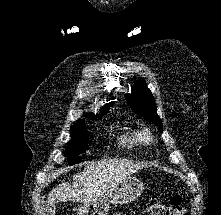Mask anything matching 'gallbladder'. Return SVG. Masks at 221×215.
Segmentation results:
<instances>
[{
    "label": "gallbladder",
    "instance_id": "gallbladder-1",
    "mask_svg": "<svg viewBox=\"0 0 221 215\" xmlns=\"http://www.w3.org/2000/svg\"><path fill=\"white\" fill-rule=\"evenodd\" d=\"M56 207L54 204H48L45 208V215H54Z\"/></svg>",
    "mask_w": 221,
    "mask_h": 215
}]
</instances>
